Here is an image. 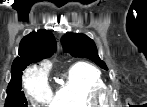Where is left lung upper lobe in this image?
<instances>
[{"label":"left lung upper lobe","instance_id":"left-lung-upper-lobe-1","mask_svg":"<svg viewBox=\"0 0 147 107\" xmlns=\"http://www.w3.org/2000/svg\"><path fill=\"white\" fill-rule=\"evenodd\" d=\"M63 49L74 57L88 58L98 66L107 70V66L97 53L96 45L92 39L84 34L68 33L62 36Z\"/></svg>","mask_w":147,"mask_h":107}]
</instances>
